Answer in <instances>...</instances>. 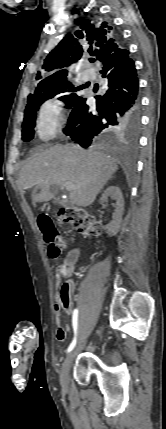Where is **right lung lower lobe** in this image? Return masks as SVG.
<instances>
[{"instance_id": "right-lung-lower-lobe-1", "label": "right lung lower lobe", "mask_w": 166, "mask_h": 429, "mask_svg": "<svg viewBox=\"0 0 166 429\" xmlns=\"http://www.w3.org/2000/svg\"><path fill=\"white\" fill-rule=\"evenodd\" d=\"M111 57L101 61L108 90L96 96V110L89 108L86 98L79 97L63 130L84 148L93 145L105 131L134 135L139 128V82L134 61L124 47L117 57Z\"/></svg>"}]
</instances>
